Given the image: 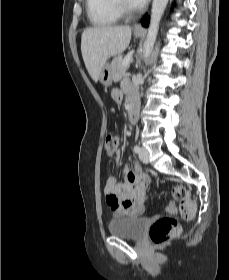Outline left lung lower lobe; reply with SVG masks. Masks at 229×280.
<instances>
[{"label":"left lung lower lobe","instance_id":"left-lung-lower-lobe-1","mask_svg":"<svg viewBox=\"0 0 229 280\" xmlns=\"http://www.w3.org/2000/svg\"><path fill=\"white\" fill-rule=\"evenodd\" d=\"M148 18V16H147V14L143 17V19L141 20V24H142V26L143 27H148V25H149V20L147 19Z\"/></svg>","mask_w":229,"mask_h":280}]
</instances>
